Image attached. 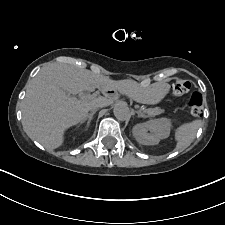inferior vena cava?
I'll list each match as a JSON object with an SVG mask.
<instances>
[{
	"instance_id": "1",
	"label": "inferior vena cava",
	"mask_w": 225,
	"mask_h": 225,
	"mask_svg": "<svg viewBox=\"0 0 225 225\" xmlns=\"http://www.w3.org/2000/svg\"><path fill=\"white\" fill-rule=\"evenodd\" d=\"M105 106H106V103L103 100H99L90 107V110L93 111V110H96L98 108H102Z\"/></svg>"
}]
</instances>
